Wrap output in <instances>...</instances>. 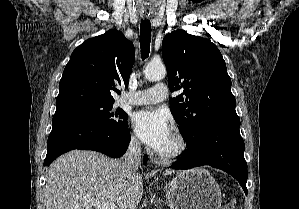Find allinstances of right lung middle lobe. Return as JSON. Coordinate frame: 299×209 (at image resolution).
Masks as SVG:
<instances>
[{
  "mask_svg": "<svg viewBox=\"0 0 299 209\" xmlns=\"http://www.w3.org/2000/svg\"><path fill=\"white\" fill-rule=\"evenodd\" d=\"M113 103L77 101L57 104L54 115L69 114L96 125L118 128L126 124L127 114L122 109L112 111Z\"/></svg>",
  "mask_w": 299,
  "mask_h": 209,
  "instance_id": "obj_1",
  "label": "right lung middle lobe"
}]
</instances>
